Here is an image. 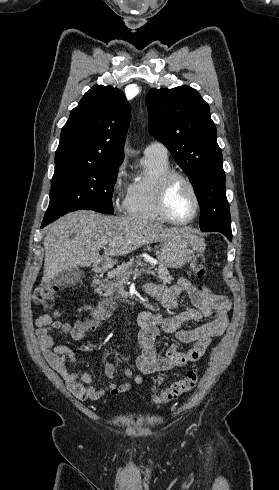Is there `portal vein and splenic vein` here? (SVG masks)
<instances>
[{"label":"portal vein and splenic vein","mask_w":279,"mask_h":490,"mask_svg":"<svg viewBox=\"0 0 279 490\" xmlns=\"http://www.w3.org/2000/svg\"><path fill=\"white\" fill-rule=\"evenodd\" d=\"M107 242H104L103 246H106ZM151 264H154L153 260H150ZM141 264H143V262H138V266H141ZM144 266H146V264H144Z\"/></svg>","instance_id":"18ae733b"}]
</instances>
